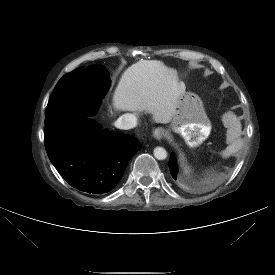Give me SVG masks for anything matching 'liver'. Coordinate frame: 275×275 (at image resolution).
Returning <instances> with one entry per match:
<instances>
[{
	"label": "liver",
	"mask_w": 275,
	"mask_h": 275,
	"mask_svg": "<svg viewBox=\"0 0 275 275\" xmlns=\"http://www.w3.org/2000/svg\"><path fill=\"white\" fill-rule=\"evenodd\" d=\"M183 93L175 71L158 60H143L128 67L114 92L115 109L152 114L156 123H169Z\"/></svg>",
	"instance_id": "obj_1"
}]
</instances>
